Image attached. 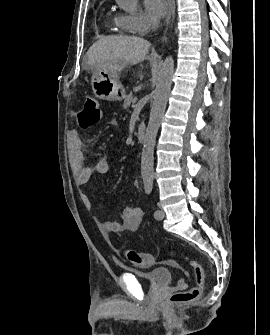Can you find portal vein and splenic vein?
I'll return each instance as SVG.
<instances>
[{"mask_svg": "<svg viewBox=\"0 0 270 335\" xmlns=\"http://www.w3.org/2000/svg\"><path fill=\"white\" fill-rule=\"evenodd\" d=\"M134 99H135L136 101H139V100L141 99V96H140L139 94H136V95L134 96Z\"/></svg>", "mask_w": 270, "mask_h": 335, "instance_id": "portal-vein-and-splenic-vein-1", "label": "portal vein and splenic vein"}]
</instances>
